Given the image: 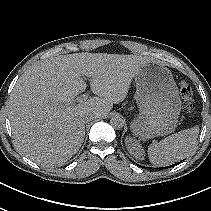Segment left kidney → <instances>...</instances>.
I'll use <instances>...</instances> for the list:
<instances>
[{
  "instance_id": "5707ae66",
  "label": "left kidney",
  "mask_w": 211,
  "mask_h": 211,
  "mask_svg": "<svg viewBox=\"0 0 211 211\" xmlns=\"http://www.w3.org/2000/svg\"><path fill=\"white\" fill-rule=\"evenodd\" d=\"M126 146L129 153L134 156L136 159L143 160L144 159V150L142 146L134 141L132 138H126Z\"/></svg>"
}]
</instances>
